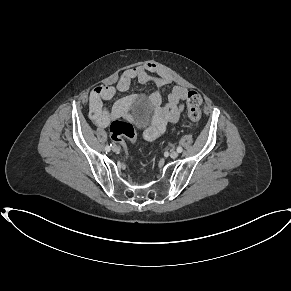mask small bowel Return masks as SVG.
<instances>
[{
  "label": "small bowel",
  "instance_id": "1",
  "mask_svg": "<svg viewBox=\"0 0 291 291\" xmlns=\"http://www.w3.org/2000/svg\"><path fill=\"white\" fill-rule=\"evenodd\" d=\"M133 80L141 84L154 83L158 88L172 83V76L154 63H146L141 66L126 70L120 77L116 86L101 85L95 87L90 93L89 113L96 126L104 128L117 119H125L134 122L135 117L128 113V109L139 102L145 101L139 96H130L118 100L111 107L106 102L111 100L116 92H125L129 89ZM188 91L181 86H175L167 95L166 104H162L159 91L153 93L148 100L152 108L149 119L141 124L149 123L143 132V138L153 141L161 136L168 124L178 120L185 109V101Z\"/></svg>",
  "mask_w": 291,
  "mask_h": 291
}]
</instances>
